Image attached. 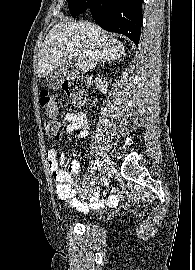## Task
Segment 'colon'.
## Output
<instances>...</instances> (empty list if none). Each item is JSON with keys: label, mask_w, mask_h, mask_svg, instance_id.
<instances>
[{"label": "colon", "mask_w": 195, "mask_h": 270, "mask_svg": "<svg viewBox=\"0 0 195 270\" xmlns=\"http://www.w3.org/2000/svg\"><path fill=\"white\" fill-rule=\"evenodd\" d=\"M62 88L65 94L74 105H81L85 100L86 84L82 79H71L63 83ZM40 105L44 112L51 117L45 123L46 133L49 136H55L60 129V123L54 118L57 111V98L55 95L44 91L40 95ZM57 181V189L61 192H67L72 182L70 175H59L55 179Z\"/></svg>", "instance_id": "colon-1"}]
</instances>
